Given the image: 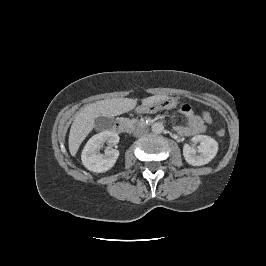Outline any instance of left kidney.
<instances>
[{
	"instance_id": "left-kidney-1",
	"label": "left kidney",
	"mask_w": 266,
	"mask_h": 266,
	"mask_svg": "<svg viewBox=\"0 0 266 266\" xmlns=\"http://www.w3.org/2000/svg\"><path fill=\"white\" fill-rule=\"evenodd\" d=\"M194 143H200L198 148L189 144L183 147V156L186 162L192 166H202L209 163L217 154L218 143L206 135H196L191 139Z\"/></svg>"
}]
</instances>
